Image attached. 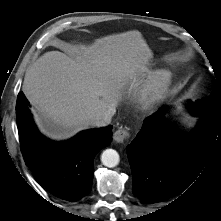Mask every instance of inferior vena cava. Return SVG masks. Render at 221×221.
<instances>
[{"instance_id": "obj_1", "label": "inferior vena cava", "mask_w": 221, "mask_h": 221, "mask_svg": "<svg viewBox=\"0 0 221 221\" xmlns=\"http://www.w3.org/2000/svg\"><path fill=\"white\" fill-rule=\"evenodd\" d=\"M116 112V107L110 105L107 108L93 114L89 119V124L94 127H104L111 123V118Z\"/></svg>"}]
</instances>
